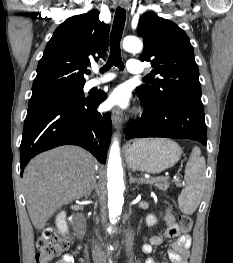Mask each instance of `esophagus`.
<instances>
[{"label": "esophagus", "instance_id": "esophagus-1", "mask_svg": "<svg viewBox=\"0 0 233 263\" xmlns=\"http://www.w3.org/2000/svg\"><path fill=\"white\" fill-rule=\"evenodd\" d=\"M119 4L121 7L125 8V9H129L128 0H120ZM111 115H112V121H113L114 127L117 130H120L122 128L123 121H124L123 120V114H122L121 110L120 109H113Z\"/></svg>", "mask_w": 233, "mask_h": 263}]
</instances>
